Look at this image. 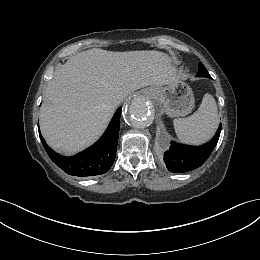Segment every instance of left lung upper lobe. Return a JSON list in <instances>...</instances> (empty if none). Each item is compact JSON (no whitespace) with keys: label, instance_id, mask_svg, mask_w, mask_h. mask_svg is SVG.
<instances>
[{"label":"left lung upper lobe","instance_id":"left-lung-upper-lobe-1","mask_svg":"<svg viewBox=\"0 0 260 260\" xmlns=\"http://www.w3.org/2000/svg\"><path fill=\"white\" fill-rule=\"evenodd\" d=\"M198 77H211L203 64H199Z\"/></svg>","mask_w":260,"mask_h":260}]
</instances>
